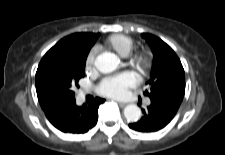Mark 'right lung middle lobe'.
<instances>
[{
  "mask_svg": "<svg viewBox=\"0 0 225 155\" xmlns=\"http://www.w3.org/2000/svg\"><path fill=\"white\" fill-rule=\"evenodd\" d=\"M85 62L82 57L51 62L42 72L43 83L59 100L74 99L72 86H78L79 79L85 76Z\"/></svg>",
  "mask_w": 225,
  "mask_h": 155,
  "instance_id": "1",
  "label": "right lung middle lobe"
}]
</instances>
